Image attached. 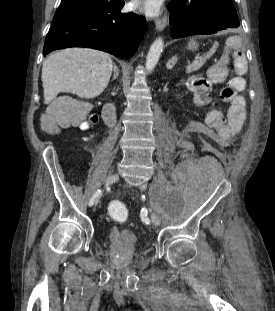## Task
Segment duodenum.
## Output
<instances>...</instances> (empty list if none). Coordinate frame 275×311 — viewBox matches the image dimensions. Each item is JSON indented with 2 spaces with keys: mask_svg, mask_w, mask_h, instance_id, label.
Instances as JSON below:
<instances>
[{
  "mask_svg": "<svg viewBox=\"0 0 275 311\" xmlns=\"http://www.w3.org/2000/svg\"><path fill=\"white\" fill-rule=\"evenodd\" d=\"M102 116H103L104 122L108 126H112L115 123V119H116L115 105L112 103H107L103 107Z\"/></svg>",
  "mask_w": 275,
  "mask_h": 311,
  "instance_id": "410a0bca",
  "label": "duodenum"
}]
</instances>
